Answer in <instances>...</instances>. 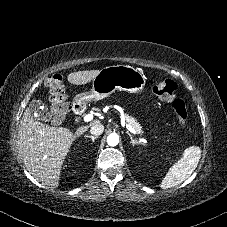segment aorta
<instances>
[{
	"mask_svg": "<svg viewBox=\"0 0 227 227\" xmlns=\"http://www.w3.org/2000/svg\"><path fill=\"white\" fill-rule=\"evenodd\" d=\"M107 143L109 146H116L119 143V136L116 133H111L107 137Z\"/></svg>",
	"mask_w": 227,
	"mask_h": 227,
	"instance_id": "762f6f07",
	"label": "aorta"
}]
</instances>
